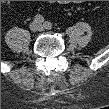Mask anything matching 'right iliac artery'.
Wrapping results in <instances>:
<instances>
[{
	"mask_svg": "<svg viewBox=\"0 0 109 109\" xmlns=\"http://www.w3.org/2000/svg\"><path fill=\"white\" fill-rule=\"evenodd\" d=\"M34 20L37 22V23H42L44 22V17L40 14H37L34 18Z\"/></svg>",
	"mask_w": 109,
	"mask_h": 109,
	"instance_id": "obj_1",
	"label": "right iliac artery"
}]
</instances>
